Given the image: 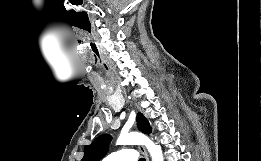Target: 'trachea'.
Masks as SVG:
<instances>
[{"mask_svg": "<svg viewBox=\"0 0 261 161\" xmlns=\"http://www.w3.org/2000/svg\"><path fill=\"white\" fill-rule=\"evenodd\" d=\"M139 161H146L145 158H140Z\"/></svg>", "mask_w": 261, "mask_h": 161, "instance_id": "3493384b", "label": "trachea"}]
</instances>
